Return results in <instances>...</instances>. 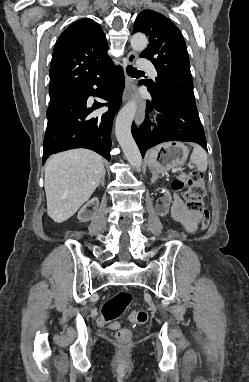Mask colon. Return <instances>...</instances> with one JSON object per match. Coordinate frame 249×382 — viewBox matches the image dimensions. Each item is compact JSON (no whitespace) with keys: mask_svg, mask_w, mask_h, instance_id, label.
I'll return each mask as SVG.
<instances>
[{"mask_svg":"<svg viewBox=\"0 0 249 382\" xmlns=\"http://www.w3.org/2000/svg\"><path fill=\"white\" fill-rule=\"evenodd\" d=\"M185 183L181 180L173 182L174 190H180ZM188 189L184 193V200L188 211L198 213L202 216V227L206 228L210 221L209 210L203 204L205 195V186L202 174L199 171H192L187 181ZM132 296L128 291H120L107 299L101 310V317L98 321L99 325L111 326L113 329H119L120 323L116 322L126 308L131 303ZM148 313L143 310L134 311L131 314V320L138 324H144L148 321ZM116 339L123 344H130L132 339L131 331L128 329H119L116 332Z\"/></svg>","mask_w":249,"mask_h":382,"instance_id":"colon-1","label":"colon"}]
</instances>
